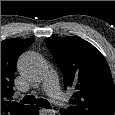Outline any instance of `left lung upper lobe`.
Listing matches in <instances>:
<instances>
[{
    "label": "left lung upper lobe",
    "instance_id": "1",
    "mask_svg": "<svg viewBox=\"0 0 115 115\" xmlns=\"http://www.w3.org/2000/svg\"><path fill=\"white\" fill-rule=\"evenodd\" d=\"M59 65L65 89L74 91L68 115H114L115 85L103 55L89 42L69 36L45 39Z\"/></svg>",
    "mask_w": 115,
    "mask_h": 115
}]
</instances>
